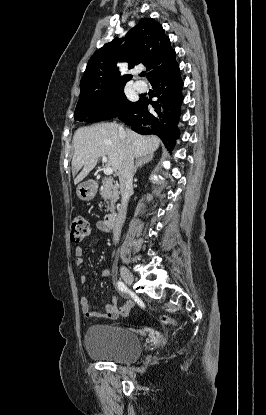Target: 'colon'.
<instances>
[{"label": "colon", "instance_id": "1", "mask_svg": "<svg viewBox=\"0 0 266 415\" xmlns=\"http://www.w3.org/2000/svg\"><path fill=\"white\" fill-rule=\"evenodd\" d=\"M90 223L82 216H76L71 220L70 224V240L73 244L81 243L90 233ZM161 320L165 324L175 325L176 322L167 314L161 316Z\"/></svg>", "mask_w": 266, "mask_h": 415}]
</instances>
